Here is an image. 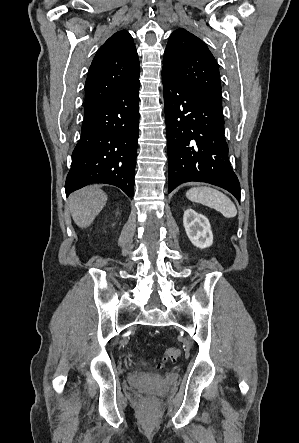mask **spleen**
I'll use <instances>...</instances> for the list:
<instances>
[{
    "label": "spleen",
    "instance_id": "spleen-1",
    "mask_svg": "<svg viewBox=\"0 0 299 443\" xmlns=\"http://www.w3.org/2000/svg\"><path fill=\"white\" fill-rule=\"evenodd\" d=\"M186 197L192 202L214 208L226 218L237 215V209L231 199L214 188L207 186L191 188L186 192Z\"/></svg>",
    "mask_w": 299,
    "mask_h": 443
}]
</instances>
